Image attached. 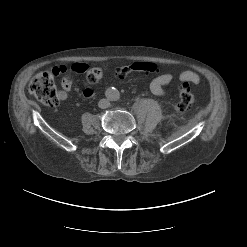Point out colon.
Masks as SVG:
<instances>
[{
    "mask_svg": "<svg viewBox=\"0 0 247 247\" xmlns=\"http://www.w3.org/2000/svg\"><path fill=\"white\" fill-rule=\"evenodd\" d=\"M105 70L99 67L90 68L87 71L86 79L88 83H97L104 75ZM29 91L42 103L48 106H56L60 102L53 74L50 72H40L36 74L29 84ZM195 101L194 94L190 87L183 83L178 86L176 108L180 113H187L193 107Z\"/></svg>",
    "mask_w": 247,
    "mask_h": 247,
    "instance_id": "5ec220e1",
    "label": "colon"
}]
</instances>
